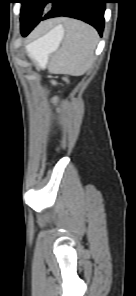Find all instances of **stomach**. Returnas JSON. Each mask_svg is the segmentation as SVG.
Masks as SVG:
<instances>
[{
    "mask_svg": "<svg viewBox=\"0 0 136 296\" xmlns=\"http://www.w3.org/2000/svg\"><path fill=\"white\" fill-rule=\"evenodd\" d=\"M55 28L26 46L29 56L38 63L37 57L40 56L42 61L46 64L49 54L58 47L62 40L61 28H58V30H55Z\"/></svg>",
    "mask_w": 136,
    "mask_h": 296,
    "instance_id": "1",
    "label": "stomach"
}]
</instances>
